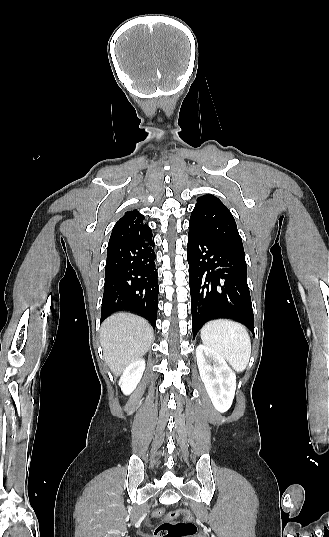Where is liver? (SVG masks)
Here are the masks:
<instances>
[{"label": "liver", "mask_w": 329, "mask_h": 537, "mask_svg": "<svg viewBox=\"0 0 329 537\" xmlns=\"http://www.w3.org/2000/svg\"><path fill=\"white\" fill-rule=\"evenodd\" d=\"M100 341L108 367L119 376L147 353L153 341V328L141 317L116 313L102 323Z\"/></svg>", "instance_id": "6515ba94"}]
</instances>
